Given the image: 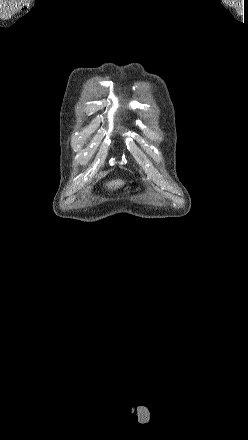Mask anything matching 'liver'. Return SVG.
I'll use <instances>...</instances> for the list:
<instances>
[{"label":"liver","mask_w":248,"mask_h":440,"mask_svg":"<svg viewBox=\"0 0 248 440\" xmlns=\"http://www.w3.org/2000/svg\"><path fill=\"white\" fill-rule=\"evenodd\" d=\"M122 185H124V181H122L120 179L113 180L107 184L109 189H113V188L116 189V188L121 187Z\"/></svg>","instance_id":"obj_1"}]
</instances>
